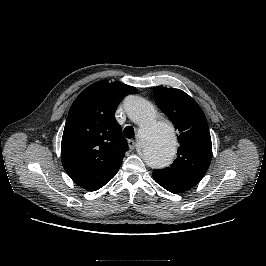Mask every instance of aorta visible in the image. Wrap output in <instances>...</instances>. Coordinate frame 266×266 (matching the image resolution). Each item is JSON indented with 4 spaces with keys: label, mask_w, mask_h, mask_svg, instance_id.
I'll use <instances>...</instances> for the list:
<instances>
[{
    "label": "aorta",
    "mask_w": 266,
    "mask_h": 266,
    "mask_svg": "<svg viewBox=\"0 0 266 266\" xmlns=\"http://www.w3.org/2000/svg\"><path fill=\"white\" fill-rule=\"evenodd\" d=\"M129 118L139 125L140 152L152 168L168 166L176 154V139L171 124L156 120L154 106L144 98L130 96L125 101Z\"/></svg>",
    "instance_id": "1"
}]
</instances>
